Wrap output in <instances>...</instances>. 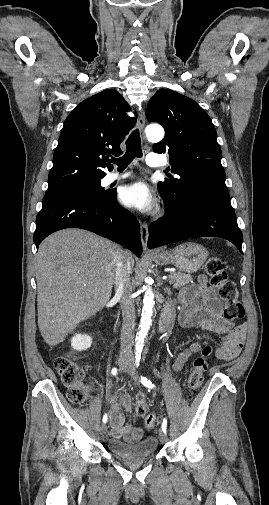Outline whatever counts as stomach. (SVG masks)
<instances>
[{
	"label": "stomach",
	"instance_id": "stomach-1",
	"mask_svg": "<svg viewBox=\"0 0 269 505\" xmlns=\"http://www.w3.org/2000/svg\"><path fill=\"white\" fill-rule=\"evenodd\" d=\"M208 255L204 246L187 242L169 251L159 249L152 258L159 265L173 264L182 272L194 273L203 266Z\"/></svg>",
	"mask_w": 269,
	"mask_h": 505
}]
</instances>
